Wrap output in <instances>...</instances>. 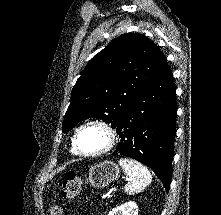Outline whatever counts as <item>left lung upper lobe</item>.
Returning a JSON list of instances; mask_svg holds the SVG:
<instances>
[{
    "instance_id": "left-lung-upper-lobe-1",
    "label": "left lung upper lobe",
    "mask_w": 221,
    "mask_h": 215,
    "mask_svg": "<svg viewBox=\"0 0 221 215\" xmlns=\"http://www.w3.org/2000/svg\"><path fill=\"white\" fill-rule=\"evenodd\" d=\"M165 61L159 48L141 34L126 33L113 39L88 62L77 80L64 117L63 133L90 117L117 127Z\"/></svg>"
}]
</instances>
